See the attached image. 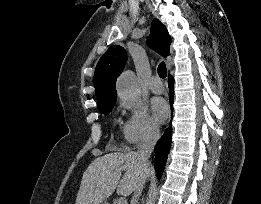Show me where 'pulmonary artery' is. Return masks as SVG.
I'll list each match as a JSON object with an SVG mask.
<instances>
[{
    "instance_id": "1",
    "label": "pulmonary artery",
    "mask_w": 261,
    "mask_h": 204,
    "mask_svg": "<svg viewBox=\"0 0 261 204\" xmlns=\"http://www.w3.org/2000/svg\"><path fill=\"white\" fill-rule=\"evenodd\" d=\"M149 89L156 94L162 93L164 91V86L161 82V80L154 76L149 81Z\"/></svg>"
}]
</instances>
